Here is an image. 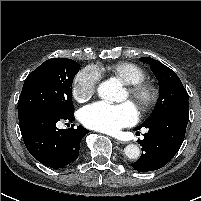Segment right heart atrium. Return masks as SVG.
Masks as SVG:
<instances>
[{
  "label": "right heart atrium",
  "mask_w": 201,
  "mask_h": 201,
  "mask_svg": "<svg viewBox=\"0 0 201 201\" xmlns=\"http://www.w3.org/2000/svg\"><path fill=\"white\" fill-rule=\"evenodd\" d=\"M100 73L93 66L83 68L73 80L72 94L79 102H86L95 94Z\"/></svg>",
  "instance_id": "d8ad5b80"
}]
</instances>
